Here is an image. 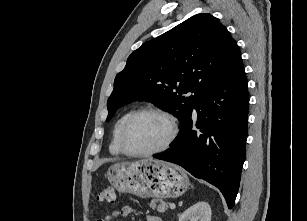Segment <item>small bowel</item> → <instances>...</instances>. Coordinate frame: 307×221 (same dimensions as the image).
<instances>
[{"label": "small bowel", "instance_id": "obj_1", "mask_svg": "<svg viewBox=\"0 0 307 221\" xmlns=\"http://www.w3.org/2000/svg\"><path fill=\"white\" fill-rule=\"evenodd\" d=\"M134 210L130 206H124L121 209H114L110 211L109 213L105 214L102 218H100L98 221H113L114 219L120 217V216H128L133 214ZM145 221H162L159 217L154 215H147L145 217Z\"/></svg>", "mask_w": 307, "mask_h": 221}]
</instances>
